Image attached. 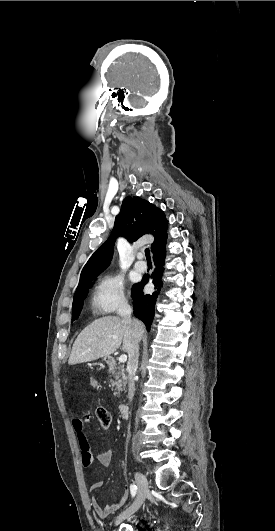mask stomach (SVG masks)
I'll return each instance as SVG.
<instances>
[{
    "label": "stomach",
    "mask_w": 275,
    "mask_h": 531,
    "mask_svg": "<svg viewBox=\"0 0 275 531\" xmlns=\"http://www.w3.org/2000/svg\"><path fill=\"white\" fill-rule=\"evenodd\" d=\"M105 363H111L112 357H104Z\"/></svg>",
    "instance_id": "stomach-1"
}]
</instances>
